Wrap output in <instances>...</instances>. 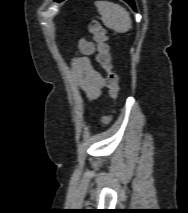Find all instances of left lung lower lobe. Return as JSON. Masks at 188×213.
Listing matches in <instances>:
<instances>
[{"label":"left lung lower lobe","mask_w":188,"mask_h":213,"mask_svg":"<svg viewBox=\"0 0 188 213\" xmlns=\"http://www.w3.org/2000/svg\"><path fill=\"white\" fill-rule=\"evenodd\" d=\"M55 1H63V0H55ZM124 1H126L128 4H130V6L133 8V9H135V6H134V1L133 0H124Z\"/></svg>","instance_id":"1"}]
</instances>
